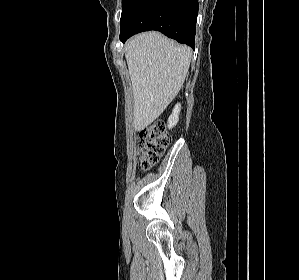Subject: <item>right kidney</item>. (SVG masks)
<instances>
[{"mask_svg":"<svg viewBox=\"0 0 299 280\" xmlns=\"http://www.w3.org/2000/svg\"><path fill=\"white\" fill-rule=\"evenodd\" d=\"M180 110H181V105L178 103L175 105L172 114L168 118L169 129H172L178 123Z\"/></svg>","mask_w":299,"mask_h":280,"instance_id":"ca27d5eb","label":"right kidney"}]
</instances>
